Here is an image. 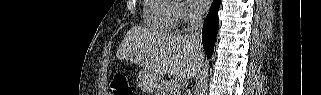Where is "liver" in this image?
Wrapping results in <instances>:
<instances>
[{
    "mask_svg": "<svg viewBox=\"0 0 321 95\" xmlns=\"http://www.w3.org/2000/svg\"><path fill=\"white\" fill-rule=\"evenodd\" d=\"M117 58L138 64L157 80L165 74L191 78L205 62L203 49L197 48L188 35L158 34L140 27L128 31Z\"/></svg>",
    "mask_w": 321,
    "mask_h": 95,
    "instance_id": "liver-1",
    "label": "liver"
}]
</instances>
